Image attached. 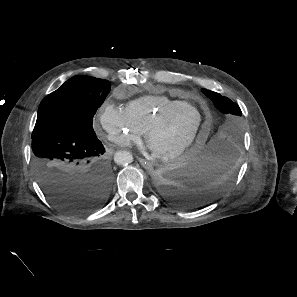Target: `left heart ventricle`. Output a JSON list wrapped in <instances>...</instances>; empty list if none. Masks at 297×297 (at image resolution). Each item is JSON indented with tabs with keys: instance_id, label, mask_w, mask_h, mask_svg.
<instances>
[{
	"instance_id": "b2bd125f",
	"label": "left heart ventricle",
	"mask_w": 297,
	"mask_h": 297,
	"mask_svg": "<svg viewBox=\"0 0 297 297\" xmlns=\"http://www.w3.org/2000/svg\"><path fill=\"white\" fill-rule=\"evenodd\" d=\"M198 122V113L193 109H185L151 134L149 147L155 153L178 148L191 137Z\"/></svg>"
}]
</instances>
